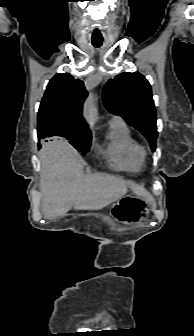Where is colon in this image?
I'll list each match as a JSON object with an SVG mask.
<instances>
[{
  "instance_id": "obj_1",
  "label": "colon",
  "mask_w": 194,
  "mask_h": 336,
  "mask_svg": "<svg viewBox=\"0 0 194 336\" xmlns=\"http://www.w3.org/2000/svg\"><path fill=\"white\" fill-rule=\"evenodd\" d=\"M144 206V203L140 200L129 199L124 201L115 211L117 217L121 219L132 218L135 216V213L141 210Z\"/></svg>"
}]
</instances>
